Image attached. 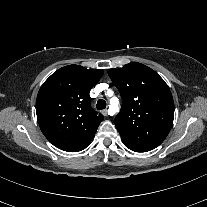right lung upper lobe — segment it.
I'll list each match as a JSON object with an SVG mask.
<instances>
[{"label": "right lung upper lobe", "instance_id": "cb5924a9", "mask_svg": "<svg viewBox=\"0 0 207 207\" xmlns=\"http://www.w3.org/2000/svg\"><path fill=\"white\" fill-rule=\"evenodd\" d=\"M102 75L101 69L68 65L44 82L36 113L43 134L53 145L76 152L92 140L103 116L91 108L89 92Z\"/></svg>", "mask_w": 207, "mask_h": 207}]
</instances>
